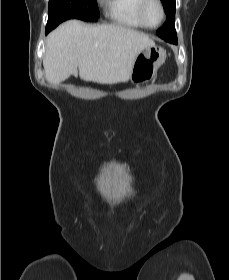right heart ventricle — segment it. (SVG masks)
Wrapping results in <instances>:
<instances>
[{"label": "right heart ventricle", "instance_id": "1", "mask_svg": "<svg viewBox=\"0 0 229 280\" xmlns=\"http://www.w3.org/2000/svg\"><path fill=\"white\" fill-rule=\"evenodd\" d=\"M109 20L119 26L142 29L145 28L138 17V9L142 0H103Z\"/></svg>", "mask_w": 229, "mask_h": 280}]
</instances>
